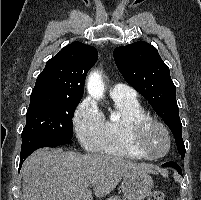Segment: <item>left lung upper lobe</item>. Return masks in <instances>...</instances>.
Here are the masks:
<instances>
[{
    "instance_id": "obj_1",
    "label": "left lung upper lobe",
    "mask_w": 201,
    "mask_h": 200,
    "mask_svg": "<svg viewBox=\"0 0 201 200\" xmlns=\"http://www.w3.org/2000/svg\"><path fill=\"white\" fill-rule=\"evenodd\" d=\"M113 56L124 79L136 89L172 131L178 152L184 159L185 145L176 101V88L168 66L152 45L138 41L117 47Z\"/></svg>"
}]
</instances>
